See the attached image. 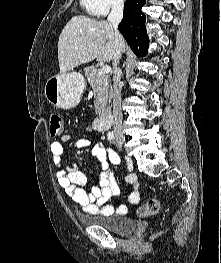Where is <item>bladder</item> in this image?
Masks as SVG:
<instances>
[{
	"mask_svg": "<svg viewBox=\"0 0 221 263\" xmlns=\"http://www.w3.org/2000/svg\"><path fill=\"white\" fill-rule=\"evenodd\" d=\"M79 220L88 225L99 226L116 234H127L135 230L137 221L119 214L79 216Z\"/></svg>",
	"mask_w": 221,
	"mask_h": 263,
	"instance_id": "1",
	"label": "bladder"
}]
</instances>
